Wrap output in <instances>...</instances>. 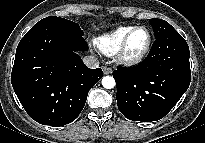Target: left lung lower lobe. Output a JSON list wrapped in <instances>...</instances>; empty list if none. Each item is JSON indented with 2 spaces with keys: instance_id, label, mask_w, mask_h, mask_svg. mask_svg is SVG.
<instances>
[{
  "instance_id": "left-lung-lower-lobe-1",
  "label": "left lung lower lobe",
  "mask_w": 205,
  "mask_h": 143,
  "mask_svg": "<svg viewBox=\"0 0 205 143\" xmlns=\"http://www.w3.org/2000/svg\"><path fill=\"white\" fill-rule=\"evenodd\" d=\"M189 47L175 30L156 38L147 58L113 71L119 111L133 121L163 118L180 100L191 80Z\"/></svg>"
}]
</instances>
